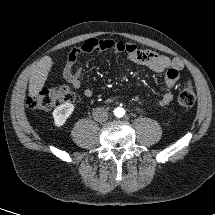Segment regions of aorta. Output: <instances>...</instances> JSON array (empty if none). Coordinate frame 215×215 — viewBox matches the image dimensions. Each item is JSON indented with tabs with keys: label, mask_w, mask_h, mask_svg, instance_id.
<instances>
[{
	"label": "aorta",
	"mask_w": 215,
	"mask_h": 215,
	"mask_svg": "<svg viewBox=\"0 0 215 215\" xmlns=\"http://www.w3.org/2000/svg\"><path fill=\"white\" fill-rule=\"evenodd\" d=\"M114 114L116 117L120 118V117H123L124 114H125V110L121 107H118L114 110Z\"/></svg>",
	"instance_id": "aorta-1"
}]
</instances>
